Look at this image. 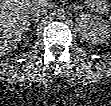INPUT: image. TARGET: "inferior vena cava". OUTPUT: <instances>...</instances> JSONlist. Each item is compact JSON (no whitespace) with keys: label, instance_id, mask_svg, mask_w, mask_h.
<instances>
[{"label":"inferior vena cava","instance_id":"1","mask_svg":"<svg viewBox=\"0 0 111 106\" xmlns=\"http://www.w3.org/2000/svg\"><path fill=\"white\" fill-rule=\"evenodd\" d=\"M48 12L47 3L45 1L36 0L32 1L31 8H30V14H32L35 17H39L41 15H44Z\"/></svg>","mask_w":111,"mask_h":106}]
</instances>
